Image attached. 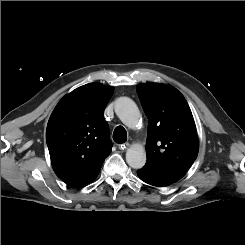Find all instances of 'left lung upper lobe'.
<instances>
[{"instance_id":"5c2ea615","label":"left lung upper lobe","mask_w":245,"mask_h":245,"mask_svg":"<svg viewBox=\"0 0 245 245\" xmlns=\"http://www.w3.org/2000/svg\"><path fill=\"white\" fill-rule=\"evenodd\" d=\"M136 90L148 116L145 167L182 178L199 149L195 121L186 99L165 84H141Z\"/></svg>"}]
</instances>
